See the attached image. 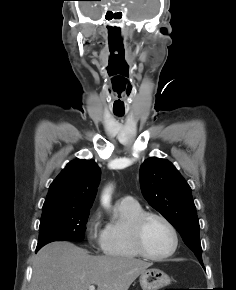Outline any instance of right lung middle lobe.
I'll use <instances>...</instances> for the list:
<instances>
[{"instance_id":"right-lung-middle-lobe-1","label":"right lung middle lobe","mask_w":236,"mask_h":290,"mask_svg":"<svg viewBox=\"0 0 236 290\" xmlns=\"http://www.w3.org/2000/svg\"><path fill=\"white\" fill-rule=\"evenodd\" d=\"M89 213V210L43 211L36 250L53 241H82Z\"/></svg>"}]
</instances>
